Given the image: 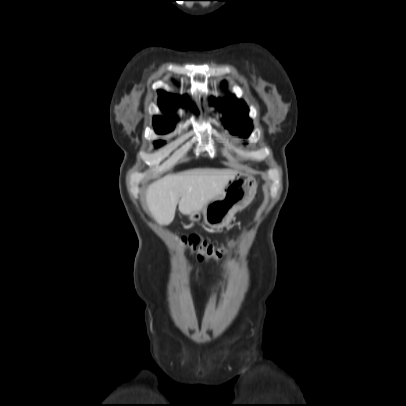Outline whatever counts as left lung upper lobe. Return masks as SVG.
<instances>
[{
	"mask_svg": "<svg viewBox=\"0 0 406 406\" xmlns=\"http://www.w3.org/2000/svg\"><path fill=\"white\" fill-rule=\"evenodd\" d=\"M216 101L213 98L212 102ZM220 109L225 112V127L230 129L232 134L249 136L252 131V122L247 117L248 108L244 101L236 100L234 96H229L220 105Z\"/></svg>",
	"mask_w": 406,
	"mask_h": 406,
	"instance_id": "1",
	"label": "left lung upper lobe"
}]
</instances>
